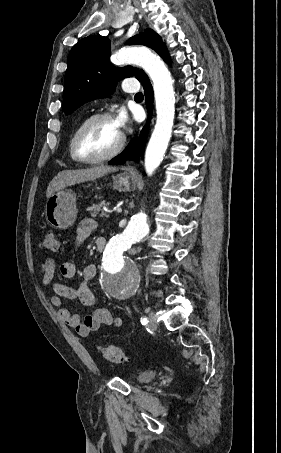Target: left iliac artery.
Returning a JSON list of instances; mask_svg holds the SVG:
<instances>
[{"label": "left iliac artery", "instance_id": "obj_1", "mask_svg": "<svg viewBox=\"0 0 281 453\" xmlns=\"http://www.w3.org/2000/svg\"><path fill=\"white\" fill-rule=\"evenodd\" d=\"M149 321L147 320V318H141V323L142 325H146Z\"/></svg>", "mask_w": 281, "mask_h": 453}]
</instances>
